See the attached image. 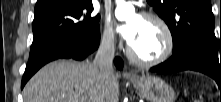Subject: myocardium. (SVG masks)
Masks as SVG:
<instances>
[{
	"mask_svg": "<svg viewBox=\"0 0 221 102\" xmlns=\"http://www.w3.org/2000/svg\"><path fill=\"white\" fill-rule=\"evenodd\" d=\"M142 18L153 21L159 25L165 36V48L158 57L153 59H143L135 53L129 43L127 45V55L129 59L137 65L143 67H152L165 62L172 55L174 50V36L167 22L159 15L151 12H144L142 14Z\"/></svg>",
	"mask_w": 221,
	"mask_h": 102,
	"instance_id": "1",
	"label": "myocardium"
}]
</instances>
